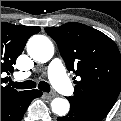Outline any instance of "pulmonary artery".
Returning a JSON list of instances; mask_svg holds the SVG:
<instances>
[{
  "mask_svg": "<svg viewBox=\"0 0 121 121\" xmlns=\"http://www.w3.org/2000/svg\"><path fill=\"white\" fill-rule=\"evenodd\" d=\"M30 75L31 72L22 73L23 78H27ZM48 75L55 87L61 92L67 95L73 93V88L65 75L64 65L60 59H54L51 61L48 68Z\"/></svg>",
  "mask_w": 121,
  "mask_h": 121,
  "instance_id": "1",
  "label": "pulmonary artery"
}]
</instances>
